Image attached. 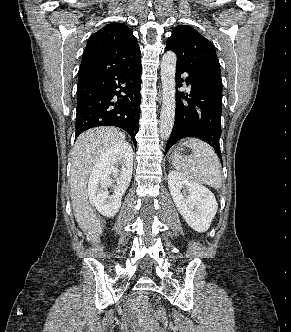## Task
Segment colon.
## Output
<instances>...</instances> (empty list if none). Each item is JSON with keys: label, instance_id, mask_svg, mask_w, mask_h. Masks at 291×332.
Here are the masks:
<instances>
[{"label": "colon", "instance_id": "5ec220e1", "mask_svg": "<svg viewBox=\"0 0 291 332\" xmlns=\"http://www.w3.org/2000/svg\"><path fill=\"white\" fill-rule=\"evenodd\" d=\"M141 304L145 311L151 310V304L147 300L141 299Z\"/></svg>", "mask_w": 291, "mask_h": 332}]
</instances>
